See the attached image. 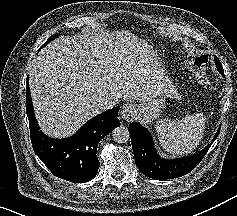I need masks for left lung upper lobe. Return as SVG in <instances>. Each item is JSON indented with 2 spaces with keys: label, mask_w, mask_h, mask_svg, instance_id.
<instances>
[{
  "label": "left lung upper lobe",
  "mask_w": 237,
  "mask_h": 216,
  "mask_svg": "<svg viewBox=\"0 0 237 216\" xmlns=\"http://www.w3.org/2000/svg\"><path fill=\"white\" fill-rule=\"evenodd\" d=\"M215 63H216V66H217L219 72L222 75H224V71H223L222 65H221L220 61L218 60V58L216 56H215Z\"/></svg>",
  "instance_id": "obj_1"
}]
</instances>
